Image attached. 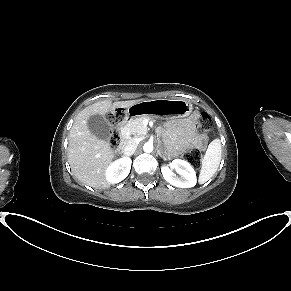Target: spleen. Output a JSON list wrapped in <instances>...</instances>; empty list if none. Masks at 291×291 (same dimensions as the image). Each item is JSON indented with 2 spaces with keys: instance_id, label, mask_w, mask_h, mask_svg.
<instances>
[{
  "instance_id": "1",
  "label": "spleen",
  "mask_w": 291,
  "mask_h": 291,
  "mask_svg": "<svg viewBox=\"0 0 291 291\" xmlns=\"http://www.w3.org/2000/svg\"><path fill=\"white\" fill-rule=\"evenodd\" d=\"M221 141L214 139L208 146L202 158V167L199 175V183L207 182L217 171L221 160Z\"/></svg>"
}]
</instances>
